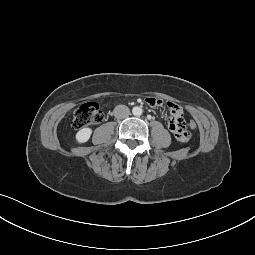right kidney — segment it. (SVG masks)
<instances>
[{
  "label": "right kidney",
  "mask_w": 255,
  "mask_h": 255,
  "mask_svg": "<svg viewBox=\"0 0 255 255\" xmlns=\"http://www.w3.org/2000/svg\"><path fill=\"white\" fill-rule=\"evenodd\" d=\"M92 134V129L91 128H82L76 133V141L78 143H85L89 140L90 136Z\"/></svg>",
  "instance_id": "obj_1"
}]
</instances>
